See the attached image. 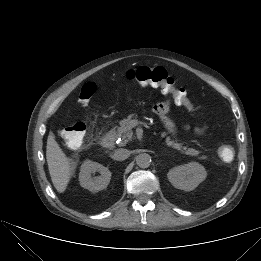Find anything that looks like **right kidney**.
<instances>
[{"label": "right kidney", "instance_id": "obj_1", "mask_svg": "<svg viewBox=\"0 0 261 261\" xmlns=\"http://www.w3.org/2000/svg\"><path fill=\"white\" fill-rule=\"evenodd\" d=\"M95 172H99L101 175L93 177L92 174ZM110 179L111 172L109 169L99 163L86 160L81 165L79 181L80 185L85 189L92 192H98L107 187L110 183Z\"/></svg>", "mask_w": 261, "mask_h": 261}]
</instances>
